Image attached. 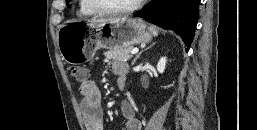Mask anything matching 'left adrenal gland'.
I'll return each instance as SVG.
<instances>
[{"mask_svg":"<svg viewBox=\"0 0 257 130\" xmlns=\"http://www.w3.org/2000/svg\"><path fill=\"white\" fill-rule=\"evenodd\" d=\"M154 45H155V43L151 44L148 48H146V49L142 50L141 52H139V53L136 55V57L134 58V60H133V62H132V65L135 64L136 60L140 57V55H141L145 50H148L149 48H151V47L154 46Z\"/></svg>","mask_w":257,"mask_h":130,"instance_id":"1","label":"left adrenal gland"}]
</instances>
